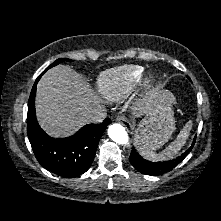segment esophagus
<instances>
[{
  "instance_id": "34e87169",
  "label": "esophagus",
  "mask_w": 221,
  "mask_h": 221,
  "mask_svg": "<svg viewBox=\"0 0 221 221\" xmlns=\"http://www.w3.org/2000/svg\"><path fill=\"white\" fill-rule=\"evenodd\" d=\"M116 121L120 122L125 127H130L131 126L130 122L123 116H117Z\"/></svg>"
}]
</instances>
